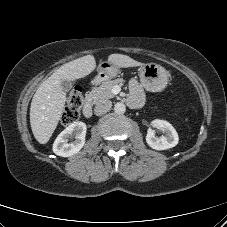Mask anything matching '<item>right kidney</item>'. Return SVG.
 I'll return each instance as SVG.
<instances>
[{
	"label": "right kidney",
	"instance_id": "obj_1",
	"mask_svg": "<svg viewBox=\"0 0 227 227\" xmlns=\"http://www.w3.org/2000/svg\"><path fill=\"white\" fill-rule=\"evenodd\" d=\"M86 124L74 122L63 130L55 139L53 152L62 157H69L78 153L85 144ZM72 138H75L72 141Z\"/></svg>",
	"mask_w": 227,
	"mask_h": 227
}]
</instances>
